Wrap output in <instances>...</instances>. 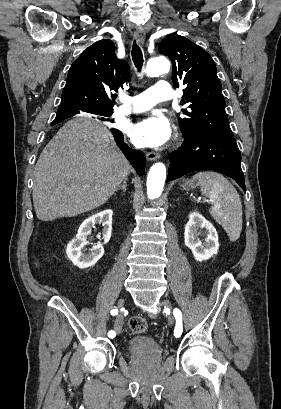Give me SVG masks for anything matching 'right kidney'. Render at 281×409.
<instances>
[{"mask_svg": "<svg viewBox=\"0 0 281 409\" xmlns=\"http://www.w3.org/2000/svg\"><path fill=\"white\" fill-rule=\"evenodd\" d=\"M112 215L113 211L111 209H106V211H100V213H95L92 217H88L83 221L78 229V233L70 243L67 245L68 251H70L71 261L73 265L79 267V269H88L95 265L101 257L104 255V249L102 243H97L93 245L92 249H89V253H85L87 249H84L86 245H89L87 241L88 235H91V231L95 223H102L104 243L110 241L112 233Z\"/></svg>", "mask_w": 281, "mask_h": 409, "instance_id": "obj_1", "label": "right kidney"}]
</instances>
